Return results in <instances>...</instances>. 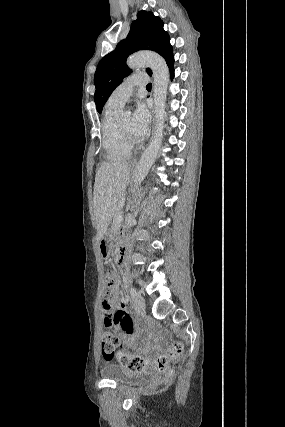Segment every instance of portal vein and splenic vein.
Instances as JSON below:
<instances>
[{
    "label": "portal vein and splenic vein",
    "instance_id": "portal-vein-and-splenic-vein-1",
    "mask_svg": "<svg viewBox=\"0 0 285 427\" xmlns=\"http://www.w3.org/2000/svg\"><path fill=\"white\" fill-rule=\"evenodd\" d=\"M121 220H123V217H122V215L119 217V221H121Z\"/></svg>",
    "mask_w": 285,
    "mask_h": 427
}]
</instances>
